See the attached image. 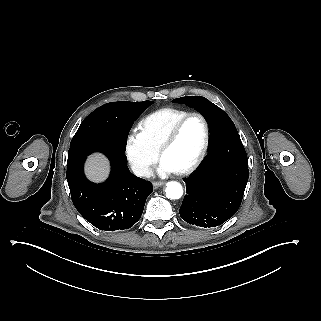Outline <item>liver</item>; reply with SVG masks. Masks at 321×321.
Listing matches in <instances>:
<instances>
[{"mask_svg": "<svg viewBox=\"0 0 321 321\" xmlns=\"http://www.w3.org/2000/svg\"><path fill=\"white\" fill-rule=\"evenodd\" d=\"M109 171V161L102 154L95 153L89 156L85 163L86 176L93 182L104 181L108 177Z\"/></svg>", "mask_w": 321, "mask_h": 321, "instance_id": "liver-1", "label": "liver"}]
</instances>
